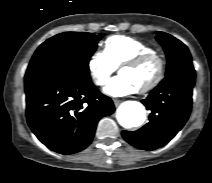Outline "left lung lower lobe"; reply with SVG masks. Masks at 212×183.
I'll list each match as a JSON object with an SVG mask.
<instances>
[{
  "label": "left lung lower lobe",
  "instance_id": "obj_1",
  "mask_svg": "<svg viewBox=\"0 0 212 183\" xmlns=\"http://www.w3.org/2000/svg\"><path fill=\"white\" fill-rule=\"evenodd\" d=\"M194 84L192 61L177 66L142 100L151 111L149 122L137 131H123V138L143 150H154L167 144L190 115Z\"/></svg>",
  "mask_w": 212,
  "mask_h": 183
}]
</instances>
